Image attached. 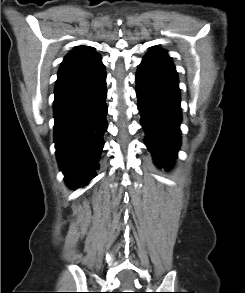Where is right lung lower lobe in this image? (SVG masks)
Segmentation results:
<instances>
[{
  "mask_svg": "<svg viewBox=\"0 0 245 293\" xmlns=\"http://www.w3.org/2000/svg\"><path fill=\"white\" fill-rule=\"evenodd\" d=\"M106 72L98 71L55 91L54 142L69 187H82L96 176L107 128Z\"/></svg>",
  "mask_w": 245,
  "mask_h": 293,
  "instance_id": "98d812e1",
  "label": "right lung lower lobe"
}]
</instances>
